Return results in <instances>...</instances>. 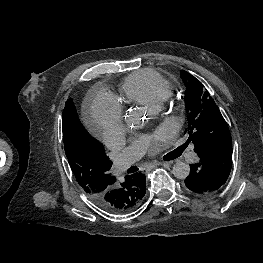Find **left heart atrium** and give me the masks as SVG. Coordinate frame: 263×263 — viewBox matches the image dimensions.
I'll return each mask as SVG.
<instances>
[{
  "instance_id": "39dd6f15",
  "label": "left heart atrium",
  "mask_w": 263,
  "mask_h": 263,
  "mask_svg": "<svg viewBox=\"0 0 263 263\" xmlns=\"http://www.w3.org/2000/svg\"><path fill=\"white\" fill-rule=\"evenodd\" d=\"M161 136H162L161 134H158L155 136V139H159V138H161Z\"/></svg>"
}]
</instances>
